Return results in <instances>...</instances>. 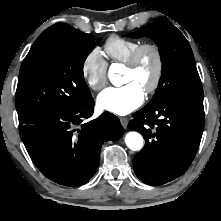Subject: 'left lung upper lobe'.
I'll list each match as a JSON object with an SVG mask.
<instances>
[{"label": "left lung upper lobe", "instance_id": "5c2ea615", "mask_svg": "<svg viewBox=\"0 0 221 221\" xmlns=\"http://www.w3.org/2000/svg\"><path fill=\"white\" fill-rule=\"evenodd\" d=\"M130 38L150 37L159 47L162 75L150 102L177 97L203 102V89L191 47L183 34L167 20H155Z\"/></svg>", "mask_w": 221, "mask_h": 221}]
</instances>
